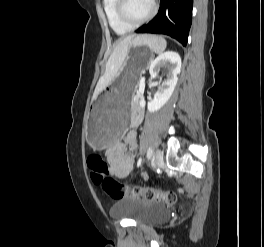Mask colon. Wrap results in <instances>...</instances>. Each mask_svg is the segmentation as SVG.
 I'll return each mask as SVG.
<instances>
[{"instance_id": "obj_1", "label": "colon", "mask_w": 264, "mask_h": 247, "mask_svg": "<svg viewBox=\"0 0 264 247\" xmlns=\"http://www.w3.org/2000/svg\"><path fill=\"white\" fill-rule=\"evenodd\" d=\"M87 164L94 184L101 185L104 192L114 199L133 197L149 201L164 202L173 205L177 202V194L173 191H162L153 188L128 186L109 178V168L105 160L97 154L89 155Z\"/></svg>"}]
</instances>
